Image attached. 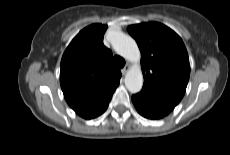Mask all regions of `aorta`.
Returning <instances> with one entry per match:
<instances>
[{
  "label": "aorta",
  "instance_id": "1",
  "mask_svg": "<svg viewBox=\"0 0 230 155\" xmlns=\"http://www.w3.org/2000/svg\"><path fill=\"white\" fill-rule=\"evenodd\" d=\"M111 44L113 49L125 59L131 62L140 60V51L135 40L124 33H116ZM125 86L131 93H138L143 86V75L140 67L131 68L125 76Z\"/></svg>",
  "mask_w": 230,
  "mask_h": 155
}]
</instances>
